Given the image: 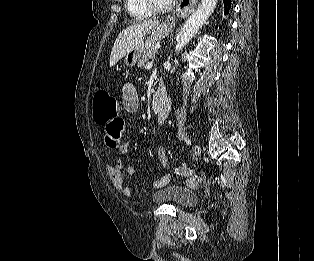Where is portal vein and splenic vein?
<instances>
[{
  "label": "portal vein and splenic vein",
  "mask_w": 314,
  "mask_h": 261,
  "mask_svg": "<svg viewBox=\"0 0 314 261\" xmlns=\"http://www.w3.org/2000/svg\"><path fill=\"white\" fill-rule=\"evenodd\" d=\"M152 66H153V63H152V62H148V63L146 64V69H151Z\"/></svg>",
  "instance_id": "18ae733b"
}]
</instances>
